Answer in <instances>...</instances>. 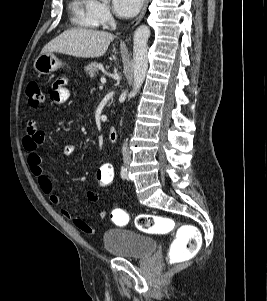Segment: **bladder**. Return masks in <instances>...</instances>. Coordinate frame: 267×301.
Segmentation results:
<instances>
[{"mask_svg": "<svg viewBox=\"0 0 267 301\" xmlns=\"http://www.w3.org/2000/svg\"><path fill=\"white\" fill-rule=\"evenodd\" d=\"M102 244L110 254L127 259L144 258L153 254L157 247L153 238L123 228L107 229Z\"/></svg>", "mask_w": 267, "mask_h": 301, "instance_id": "1", "label": "bladder"}]
</instances>
